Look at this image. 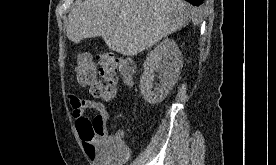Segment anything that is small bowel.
Segmentation results:
<instances>
[{"mask_svg": "<svg viewBox=\"0 0 276 165\" xmlns=\"http://www.w3.org/2000/svg\"><path fill=\"white\" fill-rule=\"evenodd\" d=\"M68 98L76 126L81 118L86 117L88 111H93L96 115L92 121L100 124L102 128L103 138L100 141L93 146H88L83 142L88 157L96 165H122L129 156V149L124 143L125 133L123 130H117L113 134L108 132L106 125L110 121V113L106 106L101 102L80 99L75 95H69ZM107 138H111L118 143L122 152L121 155L108 149Z\"/></svg>", "mask_w": 276, "mask_h": 165, "instance_id": "1", "label": "small bowel"}]
</instances>
